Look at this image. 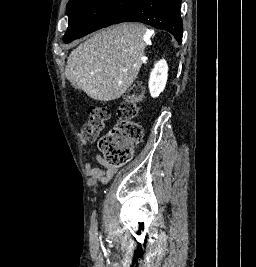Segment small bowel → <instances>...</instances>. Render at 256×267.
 <instances>
[{
	"label": "small bowel",
	"instance_id": "obj_1",
	"mask_svg": "<svg viewBox=\"0 0 256 267\" xmlns=\"http://www.w3.org/2000/svg\"><path fill=\"white\" fill-rule=\"evenodd\" d=\"M95 161L99 166H93L91 164L86 166L89 183L93 186L107 184L114 177L116 168L109 165L100 153L95 155Z\"/></svg>",
	"mask_w": 256,
	"mask_h": 267
}]
</instances>
